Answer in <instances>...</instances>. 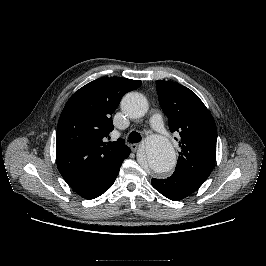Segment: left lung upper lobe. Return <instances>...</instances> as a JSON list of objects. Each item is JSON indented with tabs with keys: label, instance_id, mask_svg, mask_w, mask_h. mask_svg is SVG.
Instances as JSON below:
<instances>
[{
	"label": "left lung upper lobe",
	"instance_id": "left-lung-upper-lobe-1",
	"mask_svg": "<svg viewBox=\"0 0 266 266\" xmlns=\"http://www.w3.org/2000/svg\"><path fill=\"white\" fill-rule=\"evenodd\" d=\"M156 88L170 131L181 136L174 173L204 183L216 159L217 130L212 115L200 98L183 85L157 81Z\"/></svg>",
	"mask_w": 266,
	"mask_h": 266
}]
</instances>
